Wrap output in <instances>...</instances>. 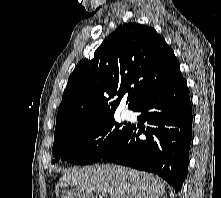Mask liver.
I'll return each instance as SVG.
<instances>
[{"mask_svg": "<svg viewBox=\"0 0 221 198\" xmlns=\"http://www.w3.org/2000/svg\"><path fill=\"white\" fill-rule=\"evenodd\" d=\"M76 187L62 198H97L102 193L110 198H165L164 181L153 174L116 165L86 166L70 169L57 183V191Z\"/></svg>", "mask_w": 221, "mask_h": 198, "instance_id": "liver-1", "label": "liver"}]
</instances>
